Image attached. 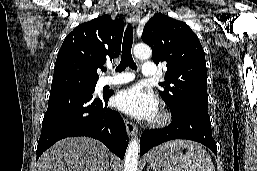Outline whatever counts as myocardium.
Wrapping results in <instances>:
<instances>
[{
  "instance_id": "1",
  "label": "myocardium",
  "mask_w": 257,
  "mask_h": 171,
  "mask_svg": "<svg viewBox=\"0 0 257 171\" xmlns=\"http://www.w3.org/2000/svg\"><path fill=\"white\" fill-rule=\"evenodd\" d=\"M171 120V114L166 110L157 111L156 115L151 119L150 125L153 127H162L167 125Z\"/></svg>"
}]
</instances>
